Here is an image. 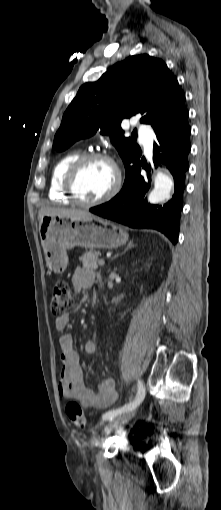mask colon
Instances as JSON below:
<instances>
[{
  "label": "colon",
  "mask_w": 221,
  "mask_h": 510,
  "mask_svg": "<svg viewBox=\"0 0 221 510\" xmlns=\"http://www.w3.org/2000/svg\"><path fill=\"white\" fill-rule=\"evenodd\" d=\"M75 302L74 289L64 280H58L53 288L51 312L54 316H61L72 308ZM66 413L70 422L78 427L85 428L86 416L81 406L76 401H69L66 405Z\"/></svg>",
  "instance_id": "colon-1"
}]
</instances>
